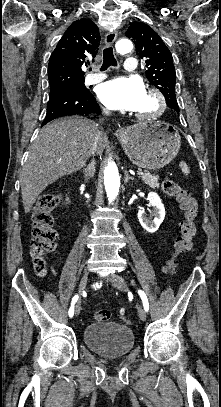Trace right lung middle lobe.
I'll return each instance as SVG.
<instances>
[{
  "instance_id": "obj_1",
  "label": "right lung middle lobe",
  "mask_w": 221,
  "mask_h": 407,
  "mask_svg": "<svg viewBox=\"0 0 221 407\" xmlns=\"http://www.w3.org/2000/svg\"><path fill=\"white\" fill-rule=\"evenodd\" d=\"M66 90L79 91V92L88 91V89L84 85V81H82V82L74 83V84H70V85L52 87V88H50V95L61 92V91H66Z\"/></svg>"
}]
</instances>
